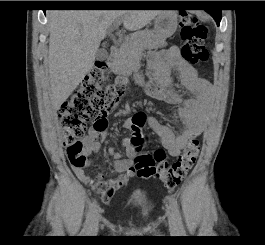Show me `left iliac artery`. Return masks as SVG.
Instances as JSON below:
<instances>
[{"label": "left iliac artery", "instance_id": "obj_1", "mask_svg": "<svg viewBox=\"0 0 265 245\" xmlns=\"http://www.w3.org/2000/svg\"><path fill=\"white\" fill-rule=\"evenodd\" d=\"M168 200H169L170 207H171V210L173 212V215H174V218H175V221H176L177 230L180 233H184L185 232V229H184V226H183V223H182V217H181V213H180L178 204L171 197H168Z\"/></svg>", "mask_w": 265, "mask_h": 245}]
</instances>
